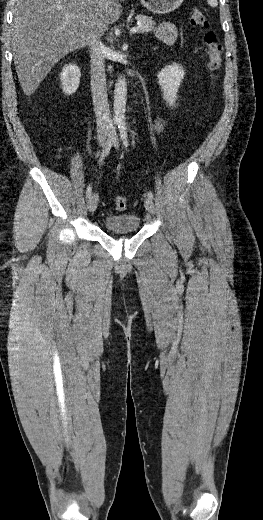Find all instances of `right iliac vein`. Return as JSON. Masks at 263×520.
Wrapping results in <instances>:
<instances>
[{"mask_svg": "<svg viewBox=\"0 0 263 520\" xmlns=\"http://www.w3.org/2000/svg\"><path fill=\"white\" fill-rule=\"evenodd\" d=\"M108 135H109V133L106 130H102L99 132L98 141H99L100 146L105 145ZM97 203H98V196H97V194H93L92 196L89 197L88 202H87L88 210L90 212H94L97 207Z\"/></svg>", "mask_w": 263, "mask_h": 520, "instance_id": "obj_1", "label": "right iliac vein"}]
</instances>
